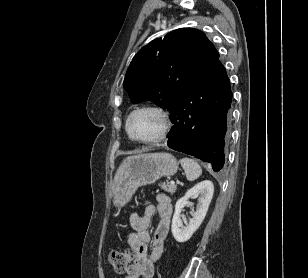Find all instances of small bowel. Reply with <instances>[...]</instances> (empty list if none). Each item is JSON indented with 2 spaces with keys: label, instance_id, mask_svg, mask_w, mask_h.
I'll use <instances>...</instances> for the list:
<instances>
[{
  "label": "small bowel",
  "instance_id": "c3829d8e",
  "mask_svg": "<svg viewBox=\"0 0 308 278\" xmlns=\"http://www.w3.org/2000/svg\"><path fill=\"white\" fill-rule=\"evenodd\" d=\"M157 214V226L151 237L149 227L152 217ZM172 214V204L166 194L156 196V204L146 206L143 215L132 213L129 223L132 232L127 236V242L134 252L133 262L125 271L124 278H152L155 263L163 253L164 240L167 237ZM151 246L148 251V246Z\"/></svg>",
  "mask_w": 308,
  "mask_h": 278
}]
</instances>
